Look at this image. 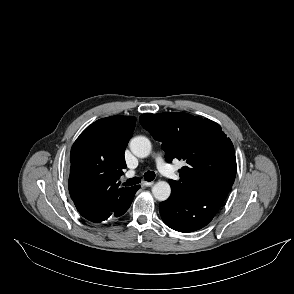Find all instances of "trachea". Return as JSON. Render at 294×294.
I'll list each match as a JSON object with an SVG mask.
<instances>
[{
	"mask_svg": "<svg viewBox=\"0 0 294 294\" xmlns=\"http://www.w3.org/2000/svg\"><path fill=\"white\" fill-rule=\"evenodd\" d=\"M144 178L146 181H152L154 180L155 178V173L153 171H147L145 174H144ZM141 179L139 177H133L131 179H128L124 185L125 186H132V185H135V184H138L140 183Z\"/></svg>",
	"mask_w": 294,
	"mask_h": 294,
	"instance_id": "obj_1",
	"label": "trachea"
}]
</instances>
